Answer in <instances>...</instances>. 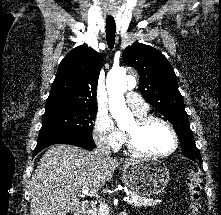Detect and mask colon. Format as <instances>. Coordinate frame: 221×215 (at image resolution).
Here are the masks:
<instances>
[{"mask_svg":"<svg viewBox=\"0 0 221 215\" xmlns=\"http://www.w3.org/2000/svg\"><path fill=\"white\" fill-rule=\"evenodd\" d=\"M189 191V205L186 215H199L201 212V179L198 173L191 171L186 175Z\"/></svg>","mask_w":221,"mask_h":215,"instance_id":"obj_1","label":"colon"}]
</instances>
